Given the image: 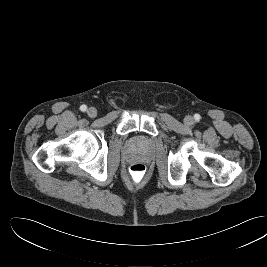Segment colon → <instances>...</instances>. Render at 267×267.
Wrapping results in <instances>:
<instances>
[{"instance_id": "colon-1", "label": "colon", "mask_w": 267, "mask_h": 267, "mask_svg": "<svg viewBox=\"0 0 267 267\" xmlns=\"http://www.w3.org/2000/svg\"><path fill=\"white\" fill-rule=\"evenodd\" d=\"M146 166L142 163H134L129 168V175L135 183L141 182L146 176Z\"/></svg>"}]
</instances>
